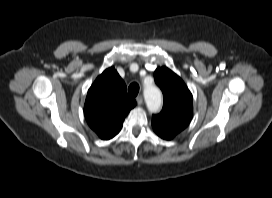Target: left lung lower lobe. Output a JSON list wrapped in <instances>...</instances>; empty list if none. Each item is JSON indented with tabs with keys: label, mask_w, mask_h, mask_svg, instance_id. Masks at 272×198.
<instances>
[{
	"label": "left lung lower lobe",
	"mask_w": 272,
	"mask_h": 198,
	"mask_svg": "<svg viewBox=\"0 0 272 198\" xmlns=\"http://www.w3.org/2000/svg\"><path fill=\"white\" fill-rule=\"evenodd\" d=\"M155 132H156V131H155ZM156 134H157L158 136H160L161 138L166 139V140L172 139L171 137H169V136H167V135H165V134L159 133V132H156Z\"/></svg>",
	"instance_id": "left-lung-lower-lobe-1"
}]
</instances>
